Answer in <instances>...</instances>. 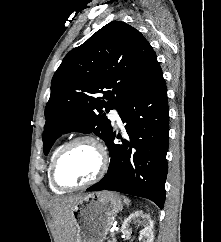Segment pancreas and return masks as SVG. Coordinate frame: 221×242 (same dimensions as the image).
Segmentation results:
<instances>
[{
  "mask_svg": "<svg viewBox=\"0 0 221 242\" xmlns=\"http://www.w3.org/2000/svg\"><path fill=\"white\" fill-rule=\"evenodd\" d=\"M108 242H116V239L112 238L111 240H108Z\"/></svg>",
  "mask_w": 221,
  "mask_h": 242,
  "instance_id": "cf45deb5",
  "label": "pancreas"
}]
</instances>
